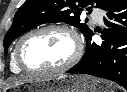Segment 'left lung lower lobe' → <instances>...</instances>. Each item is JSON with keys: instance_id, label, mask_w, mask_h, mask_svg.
I'll return each mask as SVG.
<instances>
[{"instance_id": "obj_1", "label": "left lung lower lobe", "mask_w": 127, "mask_h": 92, "mask_svg": "<svg viewBox=\"0 0 127 92\" xmlns=\"http://www.w3.org/2000/svg\"><path fill=\"white\" fill-rule=\"evenodd\" d=\"M105 11L114 21L104 19L108 29L103 31L102 44L91 42L93 32L88 35L84 56L67 73L110 79L127 89V0H116Z\"/></svg>"}]
</instances>
